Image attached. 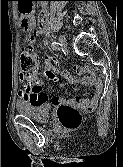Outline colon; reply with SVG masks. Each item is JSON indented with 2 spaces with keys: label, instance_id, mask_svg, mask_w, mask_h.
Masks as SVG:
<instances>
[{
  "label": "colon",
  "instance_id": "obj_1",
  "mask_svg": "<svg viewBox=\"0 0 123 167\" xmlns=\"http://www.w3.org/2000/svg\"><path fill=\"white\" fill-rule=\"evenodd\" d=\"M38 64L37 57L31 49H22L20 66L24 73L33 71ZM58 119L67 130L77 129L81 124V114L72 107L62 106L58 110Z\"/></svg>",
  "mask_w": 123,
  "mask_h": 167
}]
</instances>
